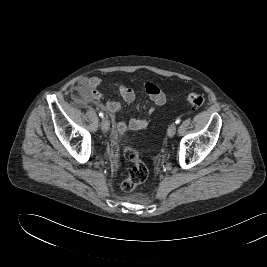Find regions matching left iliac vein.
<instances>
[{"label":"left iliac vein","instance_id":"left-iliac-vein-1","mask_svg":"<svg viewBox=\"0 0 267 267\" xmlns=\"http://www.w3.org/2000/svg\"><path fill=\"white\" fill-rule=\"evenodd\" d=\"M176 133V124H171L167 130V134L169 137H173Z\"/></svg>","mask_w":267,"mask_h":267}]
</instances>
